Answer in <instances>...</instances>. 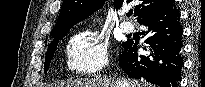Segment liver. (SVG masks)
Masks as SVG:
<instances>
[{
    "label": "liver",
    "instance_id": "liver-1",
    "mask_svg": "<svg viewBox=\"0 0 205 87\" xmlns=\"http://www.w3.org/2000/svg\"><path fill=\"white\" fill-rule=\"evenodd\" d=\"M55 87H151V85L139 81L114 80L112 78L96 76L91 79H79L58 84Z\"/></svg>",
    "mask_w": 205,
    "mask_h": 87
}]
</instances>
